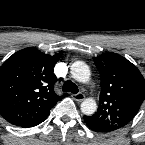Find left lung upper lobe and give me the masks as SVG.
<instances>
[{"mask_svg":"<svg viewBox=\"0 0 145 145\" xmlns=\"http://www.w3.org/2000/svg\"><path fill=\"white\" fill-rule=\"evenodd\" d=\"M94 61L100 71L102 91L97 112L84 119L94 128L114 131L127 125L137 114L145 98V79L121 55L105 53Z\"/></svg>","mask_w":145,"mask_h":145,"instance_id":"left-lung-upper-lobe-1","label":"left lung upper lobe"}]
</instances>
